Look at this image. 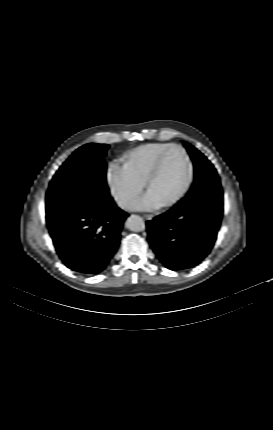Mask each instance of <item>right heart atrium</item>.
<instances>
[{"mask_svg": "<svg viewBox=\"0 0 273 430\" xmlns=\"http://www.w3.org/2000/svg\"><path fill=\"white\" fill-rule=\"evenodd\" d=\"M106 181L116 203L124 209L130 208L141 194L144 183L135 178L119 162H111L106 171Z\"/></svg>", "mask_w": 273, "mask_h": 430, "instance_id": "1", "label": "right heart atrium"}]
</instances>
